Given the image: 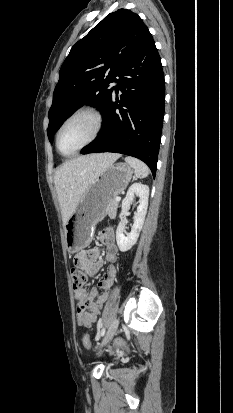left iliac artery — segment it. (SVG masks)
<instances>
[{
	"label": "left iliac artery",
	"instance_id": "obj_1",
	"mask_svg": "<svg viewBox=\"0 0 233 413\" xmlns=\"http://www.w3.org/2000/svg\"><path fill=\"white\" fill-rule=\"evenodd\" d=\"M100 326V325H99ZM105 334V328H103L101 331H100V336H103Z\"/></svg>",
	"mask_w": 233,
	"mask_h": 413
}]
</instances>
